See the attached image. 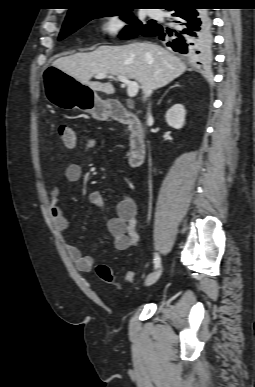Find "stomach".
<instances>
[{"mask_svg":"<svg viewBox=\"0 0 255 387\" xmlns=\"http://www.w3.org/2000/svg\"><path fill=\"white\" fill-rule=\"evenodd\" d=\"M46 99L63 109L78 108L90 113L95 119L105 121L111 114L110 101L102 100L86 85L75 80L56 67L43 70Z\"/></svg>","mask_w":255,"mask_h":387,"instance_id":"stomach-1","label":"stomach"}]
</instances>
